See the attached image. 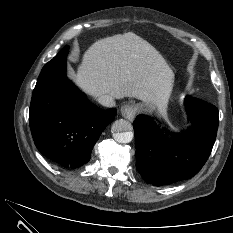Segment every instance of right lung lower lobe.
Listing matches in <instances>:
<instances>
[{
	"label": "right lung lower lobe",
	"mask_w": 233,
	"mask_h": 233,
	"mask_svg": "<svg viewBox=\"0 0 233 233\" xmlns=\"http://www.w3.org/2000/svg\"><path fill=\"white\" fill-rule=\"evenodd\" d=\"M64 48L42 69L33 91L29 122L38 150L66 168L90 160L91 151L116 109L102 110L66 77Z\"/></svg>",
	"instance_id": "right-lung-lower-lobe-1"
}]
</instances>
